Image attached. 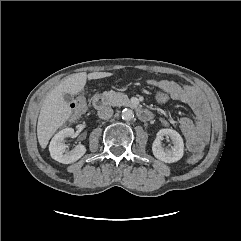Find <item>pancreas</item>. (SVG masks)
I'll use <instances>...</instances> for the list:
<instances>
[{
    "mask_svg": "<svg viewBox=\"0 0 241 241\" xmlns=\"http://www.w3.org/2000/svg\"><path fill=\"white\" fill-rule=\"evenodd\" d=\"M103 96L106 98L108 104L112 106H124L130 102L128 96L120 92L105 91Z\"/></svg>",
    "mask_w": 241,
    "mask_h": 241,
    "instance_id": "cf45deb5",
    "label": "pancreas"
}]
</instances>
